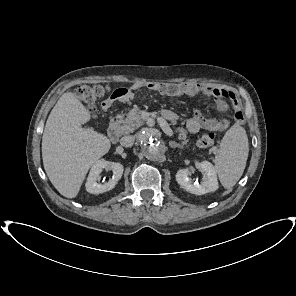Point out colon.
<instances>
[{
  "mask_svg": "<svg viewBox=\"0 0 296 296\" xmlns=\"http://www.w3.org/2000/svg\"><path fill=\"white\" fill-rule=\"evenodd\" d=\"M108 92L107 87L102 85H82L77 88V97L82 101L86 109L93 115L97 111V101ZM115 94H122L123 89L114 91ZM215 143V135L213 133H205L199 139L201 147H211Z\"/></svg>",
  "mask_w": 296,
  "mask_h": 296,
  "instance_id": "colon-1",
  "label": "colon"
}]
</instances>
